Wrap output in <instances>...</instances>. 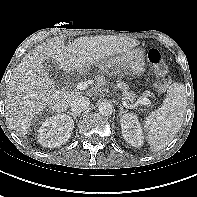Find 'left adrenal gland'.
<instances>
[{"mask_svg":"<svg viewBox=\"0 0 197 197\" xmlns=\"http://www.w3.org/2000/svg\"><path fill=\"white\" fill-rule=\"evenodd\" d=\"M119 107H120L119 116H122V114H126L127 113V111L124 110V108H123V106L121 104L119 105Z\"/></svg>","mask_w":197,"mask_h":197,"instance_id":"a2214340","label":"left adrenal gland"}]
</instances>
